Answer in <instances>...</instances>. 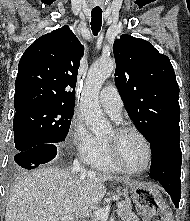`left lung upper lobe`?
<instances>
[{
    "mask_svg": "<svg viewBox=\"0 0 190 221\" xmlns=\"http://www.w3.org/2000/svg\"><path fill=\"white\" fill-rule=\"evenodd\" d=\"M115 84L125 108L141 134L180 131L179 87L172 64L151 43L121 35L113 44Z\"/></svg>",
    "mask_w": 190,
    "mask_h": 221,
    "instance_id": "1",
    "label": "left lung upper lobe"
}]
</instances>
